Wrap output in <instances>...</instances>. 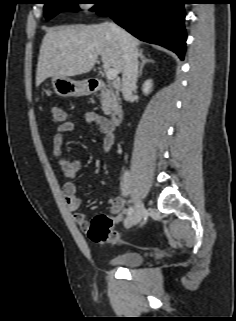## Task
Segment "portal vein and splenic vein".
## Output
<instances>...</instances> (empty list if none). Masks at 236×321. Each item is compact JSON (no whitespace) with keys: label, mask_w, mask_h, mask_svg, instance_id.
<instances>
[{"label":"portal vein and splenic vein","mask_w":236,"mask_h":321,"mask_svg":"<svg viewBox=\"0 0 236 321\" xmlns=\"http://www.w3.org/2000/svg\"><path fill=\"white\" fill-rule=\"evenodd\" d=\"M105 73H106V77L110 80L115 79L118 75V72L116 69L109 68V67L106 69Z\"/></svg>","instance_id":"portal-vein-and-splenic-vein-1"}]
</instances>
